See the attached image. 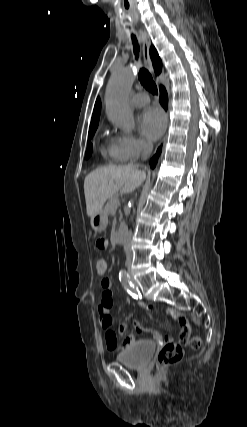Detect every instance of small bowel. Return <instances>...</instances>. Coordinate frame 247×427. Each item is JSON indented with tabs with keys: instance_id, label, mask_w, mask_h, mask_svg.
I'll list each match as a JSON object with an SVG mask.
<instances>
[{
	"instance_id": "c3829d8e",
	"label": "small bowel",
	"mask_w": 247,
	"mask_h": 427,
	"mask_svg": "<svg viewBox=\"0 0 247 427\" xmlns=\"http://www.w3.org/2000/svg\"><path fill=\"white\" fill-rule=\"evenodd\" d=\"M108 246V240L100 238L97 240V248L104 250ZM103 289L101 303L98 306L99 313V322L101 327L105 330V341L107 349L110 351H117L119 349V342L117 333L112 329L113 319L111 315V308L113 307V293H112V281L109 278H105L101 282ZM141 307H144V304H140ZM167 315L176 321L181 330L179 333V341L181 343L188 342L191 335V326L189 325L186 317L180 312L174 309H167ZM136 329L139 332H146L147 329L140 326L139 323H135ZM126 323H122L119 328V333L123 334L125 332ZM150 336L153 340L158 342H172V338L169 336L162 337L157 331L149 330ZM135 340L134 335L130 334L124 338V346H129Z\"/></svg>"
}]
</instances>
